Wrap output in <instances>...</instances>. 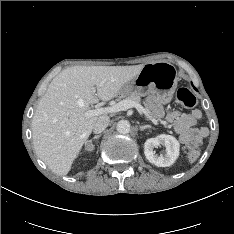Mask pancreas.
Masks as SVG:
<instances>
[{"mask_svg":"<svg viewBox=\"0 0 234 234\" xmlns=\"http://www.w3.org/2000/svg\"><path fill=\"white\" fill-rule=\"evenodd\" d=\"M126 100H131V101H134V102H137V103H141V98H140V96H138V95H134V94H131V95H128V96H126V98H125ZM145 105H146V103L145 102H143Z\"/></svg>","mask_w":234,"mask_h":234,"instance_id":"pancreas-1","label":"pancreas"}]
</instances>
